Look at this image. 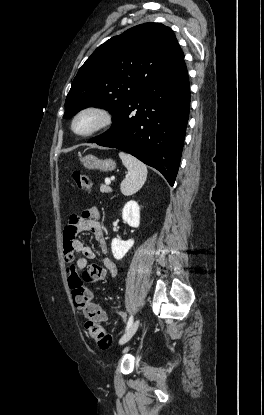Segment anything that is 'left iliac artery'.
Wrapping results in <instances>:
<instances>
[{
  "instance_id": "44dca946",
  "label": "left iliac artery",
  "mask_w": 264,
  "mask_h": 415,
  "mask_svg": "<svg viewBox=\"0 0 264 415\" xmlns=\"http://www.w3.org/2000/svg\"><path fill=\"white\" fill-rule=\"evenodd\" d=\"M132 323H133V316L131 315L129 317V319H128L127 326H126V330H128L130 328V326L132 325Z\"/></svg>"
}]
</instances>
